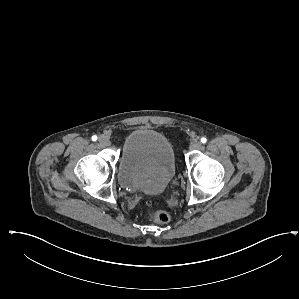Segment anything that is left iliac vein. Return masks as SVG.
<instances>
[{"instance_id": "left-iliac-vein-1", "label": "left iliac vein", "mask_w": 299, "mask_h": 299, "mask_svg": "<svg viewBox=\"0 0 299 299\" xmlns=\"http://www.w3.org/2000/svg\"><path fill=\"white\" fill-rule=\"evenodd\" d=\"M201 146H202V144L199 141L195 140L190 143L189 148H190V150H198L201 148Z\"/></svg>"}]
</instances>
